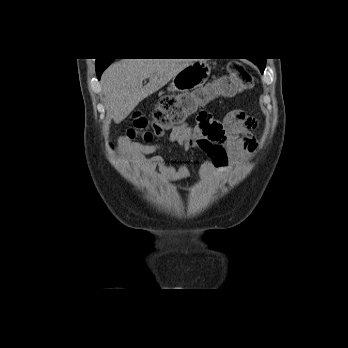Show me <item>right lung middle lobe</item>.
I'll return each instance as SVG.
<instances>
[{"instance_id": "right-lung-middle-lobe-1", "label": "right lung middle lobe", "mask_w": 348, "mask_h": 348, "mask_svg": "<svg viewBox=\"0 0 348 348\" xmlns=\"http://www.w3.org/2000/svg\"><path fill=\"white\" fill-rule=\"evenodd\" d=\"M113 59H97L96 66H108Z\"/></svg>"}]
</instances>
